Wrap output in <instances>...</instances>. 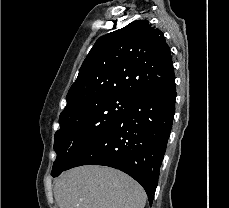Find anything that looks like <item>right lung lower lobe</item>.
Masks as SVG:
<instances>
[{
  "label": "right lung lower lobe",
  "instance_id": "1",
  "mask_svg": "<svg viewBox=\"0 0 229 208\" xmlns=\"http://www.w3.org/2000/svg\"><path fill=\"white\" fill-rule=\"evenodd\" d=\"M175 76L142 94L110 127L88 142L65 169L105 165L119 169L146 190L150 205L175 113Z\"/></svg>",
  "mask_w": 229,
  "mask_h": 208
}]
</instances>
